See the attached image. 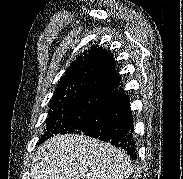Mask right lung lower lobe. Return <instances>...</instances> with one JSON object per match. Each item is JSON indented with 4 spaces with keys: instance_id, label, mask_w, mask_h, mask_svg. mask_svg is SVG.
I'll list each match as a JSON object with an SVG mask.
<instances>
[{
    "instance_id": "98d812e1",
    "label": "right lung lower lobe",
    "mask_w": 183,
    "mask_h": 179,
    "mask_svg": "<svg viewBox=\"0 0 183 179\" xmlns=\"http://www.w3.org/2000/svg\"><path fill=\"white\" fill-rule=\"evenodd\" d=\"M105 98L106 104L98 118L76 134H84L109 142L124 149L132 159H136V141L129 96L123 88L116 87Z\"/></svg>"
}]
</instances>
